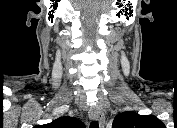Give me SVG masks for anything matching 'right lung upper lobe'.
I'll return each instance as SVG.
<instances>
[{
  "label": "right lung upper lobe",
  "instance_id": "right-lung-upper-lobe-1",
  "mask_svg": "<svg viewBox=\"0 0 177 128\" xmlns=\"http://www.w3.org/2000/svg\"><path fill=\"white\" fill-rule=\"evenodd\" d=\"M49 128H84L85 125L82 121L74 117H60L53 120L48 124Z\"/></svg>",
  "mask_w": 177,
  "mask_h": 128
}]
</instances>
